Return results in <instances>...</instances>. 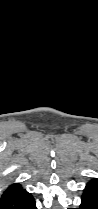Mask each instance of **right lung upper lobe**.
Listing matches in <instances>:
<instances>
[{
	"instance_id": "cb5924a9",
	"label": "right lung upper lobe",
	"mask_w": 98,
	"mask_h": 209,
	"mask_svg": "<svg viewBox=\"0 0 98 209\" xmlns=\"http://www.w3.org/2000/svg\"><path fill=\"white\" fill-rule=\"evenodd\" d=\"M21 188V185L18 183L11 184L2 194L1 199H5L9 194Z\"/></svg>"
}]
</instances>
